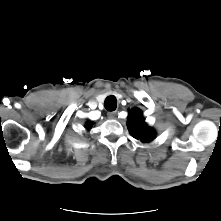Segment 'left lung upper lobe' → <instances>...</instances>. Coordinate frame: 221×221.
Listing matches in <instances>:
<instances>
[{"label": "left lung upper lobe", "instance_id": "1", "mask_svg": "<svg viewBox=\"0 0 221 221\" xmlns=\"http://www.w3.org/2000/svg\"><path fill=\"white\" fill-rule=\"evenodd\" d=\"M127 125L130 134L142 142H150L155 138V131L145 123L142 112L138 108L129 111Z\"/></svg>", "mask_w": 221, "mask_h": 221}]
</instances>
